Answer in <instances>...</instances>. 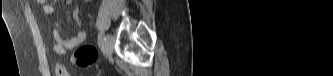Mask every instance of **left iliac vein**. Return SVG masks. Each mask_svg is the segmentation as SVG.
<instances>
[{
    "instance_id": "obj_1",
    "label": "left iliac vein",
    "mask_w": 333,
    "mask_h": 76,
    "mask_svg": "<svg viewBox=\"0 0 333 76\" xmlns=\"http://www.w3.org/2000/svg\"><path fill=\"white\" fill-rule=\"evenodd\" d=\"M114 48V38L111 34H107L105 38V43L103 45V50L105 55L109 56L112 54Z\"/></svg>"
}]
</instances>
